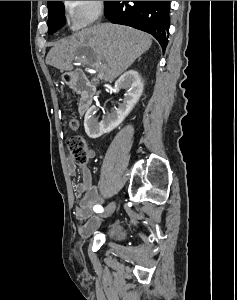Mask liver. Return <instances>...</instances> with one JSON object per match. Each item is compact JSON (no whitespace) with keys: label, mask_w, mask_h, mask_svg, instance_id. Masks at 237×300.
<instances>
[{"label":"liver","mask_w":237,"mask_h":300,"mask_svg":"<svg viewBox=\"0 0 237 300\" xmlns=\"http://www.w3.org/2000/svg\"><path fill=\"white\" fill-rule=\"evenodd\" d=\"M152 45L150 35L111 23H99L74 33L69 39L54 43L46 57V65L64 71H72L71 61L86 57L89 49L97 55V61L105 59L107 65H93L104 71L105 81H114L122 75L135 59L148 51Z\"/></svg>","instance_id":"6515ba94"}]
</instances>
